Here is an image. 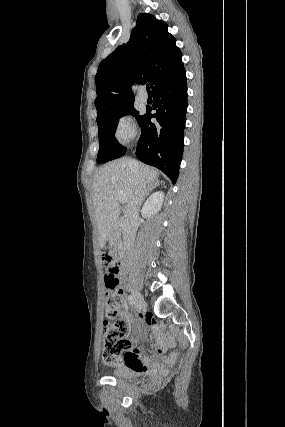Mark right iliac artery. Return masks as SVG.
<instances>
[{"label":"right iliac artery","instance_id":"82829eb1","mask_svg":"<svg viewBox=\"0 0 285 427\" xmlns=\"http://www.w3.org/2000/svg\"><path fill=\"white\" fill-rule=\"evenodd\" d=\"M129 304L133 307L135 305V299L133 296L128 295Z\"/></svg>","mask_w":285,"mask_h":427}]
</instances>
